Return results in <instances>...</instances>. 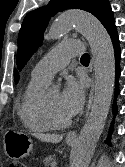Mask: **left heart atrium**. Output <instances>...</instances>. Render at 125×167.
<instances>
[{"instance_id":"obj_1","label":"left heart atrium","mask_w":125,"mask_h":167,"mask_svg":"<svg viewBox=\"0 0 125 167\" xmlns=\"http://www.w3.org/2000/svg\"><path fill=\"white\" fill-rule=\"evenodd\" d=\"M85 100V83L74 77H67L64 88L60 93L61 106L69 116L76 115L82 108Z\"/></svg>"}]
</instances>
